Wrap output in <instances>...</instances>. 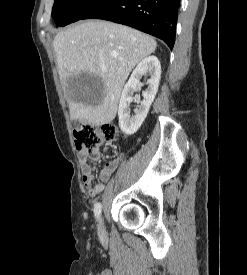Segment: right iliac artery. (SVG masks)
<instances>
[{
  "label": "right iliac artery",
  "instance_id": "82829eb1",
  "mask_svg": "<svg viewBox=\"0 0 247 275\" xmlns=\"http://www.w3.org/2000/svg\"><path fill=\"white\" fill-rule=\"evenodd\" d=\"M102 210V205L100 202H97L94 206V214L96 218H99Z\"/></svg>",
  "mask_w": 247,
  "mask_h": 275
}]
</instances>
